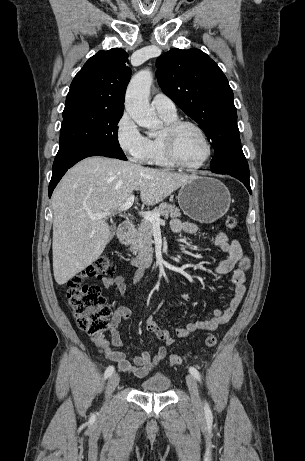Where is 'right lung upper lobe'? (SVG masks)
<instances>
[{
	"label": "right lung upper lobe",
	"instance_id": "obj_1",
	"mask_svg": "<svg viewBox=\"0 0 305 461\" xmlns=\"http://www.w3.org/2000/svg\"><path fill=\"white\" fill-rule=\"evenodd\" d=\"M128 54L119 48L99 51L76 74L65 108L88 106L123 112L124 97L131 76Z\"/></svg>",
	"mask_w": 305,
	"mask_h": 461
}]
</instances>
